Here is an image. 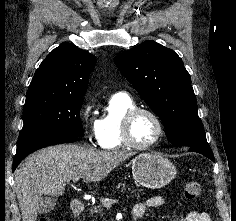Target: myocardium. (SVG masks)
I'll return each instance as SVG.
<instances>
[{
    "label": "myocardium",
    "instance_id": "myocardium-1",
    "mask_svg": "<svg viewBox=\"0 0 236 221\" xmlns=\"http://www.w3.org/2000/svg\"><path fill=\"white\" fill-rule=\"evenodd\" d=\"M142 113L151 116L154 119V121L156 122L157 128H158L157 136L155 137V139L153 141H151L150 143L143 144V145L136 143L133 140L132 135H131V126H132L133 120L135 119L136 116H138L139 114H142ZM163 135H164L163 122H162L161 118L159 117V115L150 108L134 107V108L128 110L122 118L121 138H122L123 143L130 148H133L136 150L150 149V148L154 147L155 145H157L161 141Z\"/></svg>",
    "mask_w": 236,
    "mask_h": 221
}]
</instances>
